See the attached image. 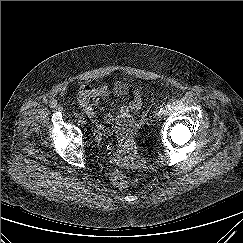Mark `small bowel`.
<instances>
[{"label":"small bowel","instance_id":"1","mask_svg":"<svg viewBox=\"0 0 243 243\" xmlns=\"http://www.w3.org/2000/svg\"><path fill=\"white\" fill-rule=\"evenodd\" d=\"M113 91L117 95H126L129 86L124 82H115L112 85L102 84L98 86L83 85L78 91L77 101L84 113L92 120L97 129V136L100 138L104 123H112L113 131L122 141H128L133 130V113L137 112L142 106V94L140 90H135L132 99L122 105L116 113H105L98 115L96 108L101 99L110 95Z\"/></svg>","mask_w":243,"mask_h":243}]
</instances>
